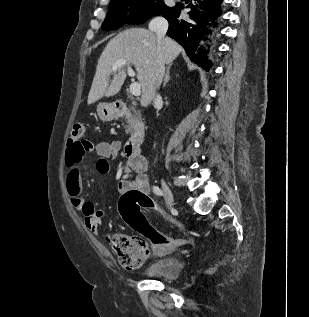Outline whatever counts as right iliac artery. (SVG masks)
Here are the masks:
<instances>
[{
    "label": "right iliac artery",
    "instance_id": "82829eb1",
    "mask_svg": "<svg viewBox=\"0 0 309 317\" xmlns=\"http://www.w3.org/2000/svg\"><path fill=\"white\" fill-rule=\"evenodd\" d=\"M153 192L158 196H163V191L158 186H153Z\"/></svg>",
    "mask_w": 309,
    "mask_h": 317
}]
</instances>
